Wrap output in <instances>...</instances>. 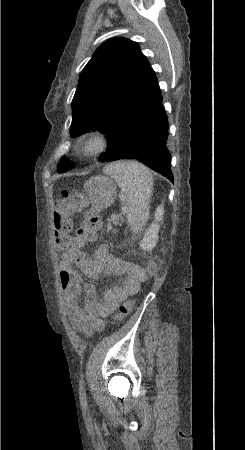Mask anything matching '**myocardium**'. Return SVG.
I'll return each instance as SVG.
<instances>
[{"mask_svg":"<svg viewBox=\"0 0 245 450\" xmlns=\"http://www.w3.org/2000/svg\"><path fill=\"white\" fill-rule=\"evenodd\" d=\"M109 147V140L103 132H92L86 135L80 144V151L86 157L102 155Z\"/></svg>","mask_w":245,"mask_h":450,"instance_id":"f54148a6","label":"myocardium"}]
</instances>
